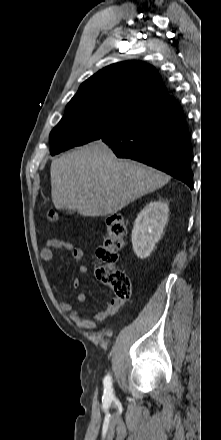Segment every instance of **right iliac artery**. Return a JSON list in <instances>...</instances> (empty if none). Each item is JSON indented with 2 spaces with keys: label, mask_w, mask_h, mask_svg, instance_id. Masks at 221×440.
Returning <instances> with one entry per match:
<instances>
[{
  "label": "right iliac artery",
  "mask_w": 221,
  "mask_h": 440,
  "mask_svg": "<svg viewBox=\"0 0 221 440\" xmlns=\"http://www.w3.org/2000/svg\"><path fill=\"white\" fill-rule=\"evenodd\" d=\"M111 385H112L111 377L106 376L104 379V388H105L104 394L109 397L113 396Z\"/></svg>",
  "instance_id": "right-iliac-artery-1"
}]
</instances>
